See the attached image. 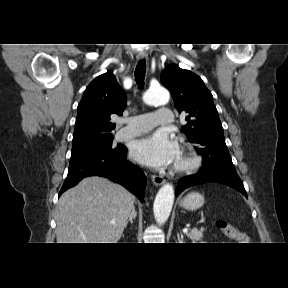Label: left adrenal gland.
<instances>
[{
	"label": "left adrenal gland",
	"instance_id": "left-adrenal-gland-1",
	"mask_svg": "<svg viewBox=\"0 0 288 288\" xmlns=\"http://www.w3.org/2000/svg\"><path fill=\"white\" fill-rule=\"evenodd\" d=\"M177 238H178L179 243H182L183 236H181V238H180V235H179V233H178V234H177Z\"/></svg>",
	"mask_w": 288,
	"mask_h": 288
}]
</instances>
